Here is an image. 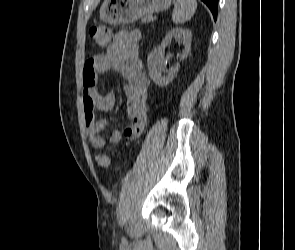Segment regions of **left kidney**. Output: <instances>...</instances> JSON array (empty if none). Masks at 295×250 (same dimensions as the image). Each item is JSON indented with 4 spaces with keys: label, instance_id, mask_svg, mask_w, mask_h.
<instances>
[{
    "label": "left kidney",
    "instance_id": "left-kidney-1",
    "mask_svg": "<svg viewBox=\"0 0 295 250\" xmlns=\"http://www.w3.org/2000/svg\"><path fill=\"white\" fill-rule=\"evenodd\" d=\"M178 39L183 42L184 49L180 54V59H185L191 49L192 33L188 29L174 28L168 31L161 42V45L154 49L147 58L148 71L153 82L158 86H167L178 73L179 68L175 67L169 71L166 70L164 63L165 47L169 45L172 39ZM167 72L166 76H162V73Z\"/></svg>",
    "mask_w": 295,
    "mask_h": 250
}]
</instances>
